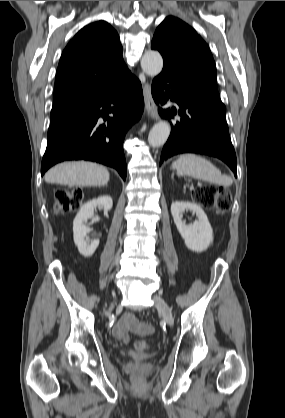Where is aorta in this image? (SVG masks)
Instances as JSON below:
<instances>
[{"instance_id": "aorta-1", "label": "aorta", "mask_w": 285, "mask_h": 418, "mask_svg": "<svg viewBox=\"0 0 285 418\" xmlns=\"http://www.w3.org/2000/svg\"><path fill=\"white\" fill-rule=\"evenodd\" d=\"M142 70L149 76H157L163 68V59L157 51H147L141 59ZM171 127L166 121H160L153 126L149 135L148 142L152 147H159L165 144L169 135Z\"/></svg>"}]
</instances>
